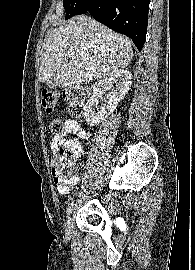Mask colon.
I'll use <instances>...</instances> for the list:
<instances>
[{"label":"colon","mask_w":195,"mask_h":270,"mask_svg":"<svg viewBox=\"0 0 195 270\" xmlns=\"http://www.w3.org/2000/svg\"><path fill=\"white\" fill-rule=\"evenodd\" d=\"M63 97L67 102L69 113L74 117L81 116L88 98V90L82 86L70 87L64 91ZM59 99L60 96L57 92L51 90L41 92V104L47 113L56 110ZM49 130L54 136L59 137L65 133V125L62 120L55 118L49 122ZM80 156V144L74 139L66 140L58 147L51 166L53 181L60 193H67L77 182L76 162Z\"/></svg>","instance_id":"obj_1"}]
</instances>
